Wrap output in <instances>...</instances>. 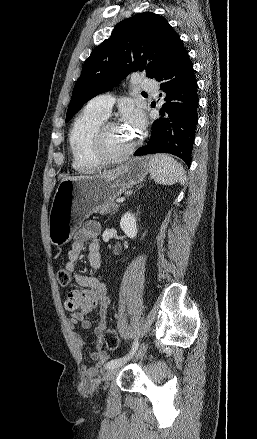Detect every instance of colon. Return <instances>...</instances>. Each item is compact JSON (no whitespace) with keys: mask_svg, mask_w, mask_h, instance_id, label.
I'll use <instances>...</instances> for the list:
<instances>
[{"mask_svg":"<svg viewBox=\"0 0 257 439\" xmlns=\"http://www.w3.org/2000/svg\"><path fill=\"white\" fill-rule=\"evenodd\" d=\"M57 280L61 286L63 287L68 286L71 281L70 273L67 272L65 269L58 270ZM103 340L106 346L111 350L117 349L120 345V338L117 332L113 329H106L103 332Z\"/></svg>","mask_w":257,"mask_h":439,"instance_id":"1","label":"colon"}]
</instances>
